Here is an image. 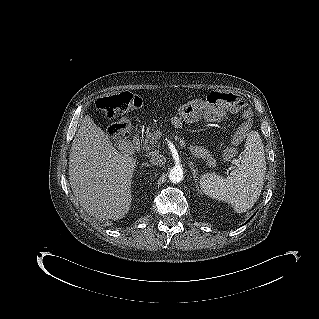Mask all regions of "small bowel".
Segmentation results:
<instances>
[{"label":"small bowel","instance_id":"small-bowel-1","mask_svg":"<svg viewBox=\"0 0 319 319\" xmlns=\"http://www.w3.org/2000/svg\"><path fill=\"white\" fill-rule=\"evenodd\" d=\"M225 114L226 113L223 108L214 109L208 113V119L210 122H218L224 118ZM172 122L176 127H179L181 125V120L178 117H174ZM192 151L200 156H205L207 154V152L202 147L198 146H193Z\"/></svg>","mask_w":319,"mask_h":319}]
</instances>
